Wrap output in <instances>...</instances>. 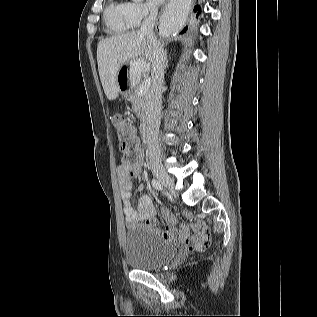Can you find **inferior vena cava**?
<instances>
[{
    "instance_id": "602c4592",
    "label": "inferior vena cava",
    "mask_w": 317,
    "mask_h": 317,
    "mask_svg": "<svg viewBox=\"0 0 317 317\" xmlns=\"http://www.w3.org/2000/svg\"><path fill=\"white\" fill-rule=\"evenodd\" d=\"M158 9L149 6V16L144 19L140 33L145 35L152 44V86L147 96L145 139L152 168L161 166V152L158 143L160 127L162 86L164 82L165 53L153 32Z\"/></svg>"
}]
</instances>
